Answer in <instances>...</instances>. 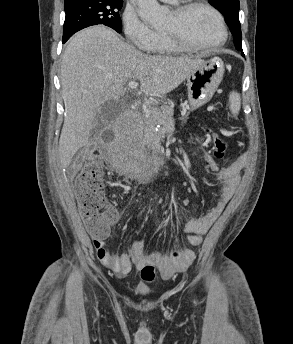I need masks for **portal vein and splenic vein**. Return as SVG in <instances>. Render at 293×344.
Wrapping results in <instances>:
<instances>
[{
	"instance_id": "1",
	"label": "portal vein and splenic vein",
	"mask_w": 293,
	"mask_h": 344,
	"mask_svg": "<svg viewBox=\"0 0 293 344\" xmlns=\"http://www.w3.org/2000/svg\"><path fill=\"white\" fill-rule=\"evenodd\" d=\"M137 86H138V83L136 81L132 80L128 83V87L131 89H135V88H137Z\"/></svg>"
}]
</instances>
